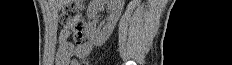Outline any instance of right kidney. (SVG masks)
<instances>
[{
  "instance_id": "right-kidney-1",
  "label": "right kidney",
  "mask_w": 232,
  "mask_h": 65,
  "mask_svg": "<svg viewBox=\"0 0 232 65\" xmlns=\"http://www.w3.org/2000/svg\"><path fill=\"white\" fill-rule=\"evenodd\" d=\"M105 4L109 7L110 15L103 29L96 30L91 20L96 18ZM123 6L124 0H93L91 2L87 9L88 23L85 27V34L90 42L95 46H102L107 41L121 16Z\"/></svg>"
}]
</instances>
